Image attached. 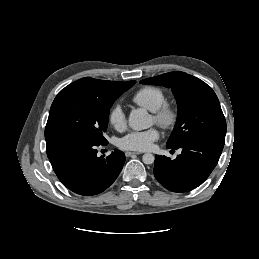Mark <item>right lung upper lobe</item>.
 Masks as SVG:
<instances>
[{"label":"right lung upper lobe","mask_w":259,"mask_h":259,"mask_svg":"<svg viewBox=\"0 0 259 259\" xmlns=\"http://www.w3.org/2000/svg\"><path fill=\"white\" fill-rule=\"evenodd\" d=\"M124 83L86 77L71 83L65 88L82 90L97 97H108L115 94Z\"/></svg>","instance_id":"right-lung-upper-lobe-1"}]
</instances>
